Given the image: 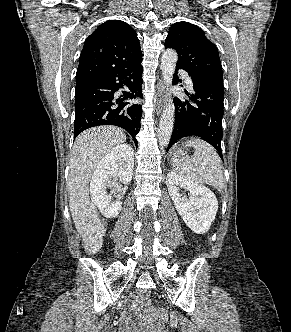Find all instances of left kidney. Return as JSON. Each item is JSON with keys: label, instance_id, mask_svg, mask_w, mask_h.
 I'll return each instance as SVG.
<instances>
[{"label": "left kidney", "instance_id": "1", "mask_svg": "<svg viewBox=\"0 0 291 332\" xmlns=\"http://www.w3.org/2000/svg\"><path fill=\"white\" fill-rule=\"evenodd\" d=\"M171 199L186 225L195 233L207 232L215 219L218 201L215 194L206 186L188 181L174 171L167 174L166 180ZM188 191V196L180 193Z\"/></svg>", "mask_w": 291, "mask_h": 332}]
</instances>
